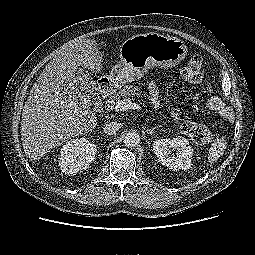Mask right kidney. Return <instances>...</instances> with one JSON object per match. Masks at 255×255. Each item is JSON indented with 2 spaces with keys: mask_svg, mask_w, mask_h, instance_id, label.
<instances>
[{
  "mask_svg": "<svg viewBox=\"0 0 255 255\" xmlns=\"http://www.w3.org/2000/svg\"><path fill=\"white\" fill-rule=\"evenodd\" d=\"M97 149L86 138H76L68 141L60 151L59 166L63 173L75 174L87 169L94 160Z\"/></svg>",
  "mask_w": 255,
  "mask_h": 255,
  "instance_id": "obj_1",
  "label": "right kidney"
}]
</instances>
